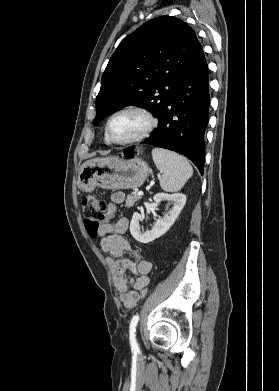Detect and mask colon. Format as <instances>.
Segmentation results:
<instances>
[{
	"mask_svg": "<svg viewBox=\"0 0 279 391\" xmlns=\"http://www.w3.org/2000/svg\"><path fill=\"white\" fill-rule=\"evenodd\" d=\"M137 150L131 151L130 153H136ZM127 152L123 154L126 156ZM81 208L83 211V215L85 217L86 228L89 234L93 237H96L98 234V229L104 219L105 213L107 211L106 203L92 195H87L83 197L81 201ZM147 287H144L140 291V298L143 299L147 295Z\"/></svg>",
	"mask_w": 279,
	"mask_h": 391,
	"instance_id": "colon-1",
	"label": "colon"
}]
</instances>
